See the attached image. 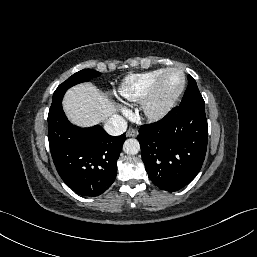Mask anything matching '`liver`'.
Here are the masks:
<instances>
[{
  "instance_id": "obj_1",
  "label": "liver",
  "mask_w": 257,
  "mask_h": 257,
  "mask_svg": "<svg viewBox=\"0 0 257 257\" xmlns=\"http://www.w3.org/2000/svg\"><path fill=\"white\" fill-rule=\"evenodd\" d=\"M62 104L70 122L79 127L96 125L117 111L112 101L91 83L70 88Z\"/></svg>"
}]
</instances>
